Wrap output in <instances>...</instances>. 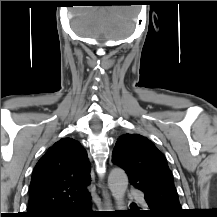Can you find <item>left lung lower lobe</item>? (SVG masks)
<instances>
[{
	"label": "left lung lower lobe",
	"mask_w": 217,
	"mask_h": 217,
	"mask_svg": "<svg viewBox=\"0 0 217 217\" xmlns=\"http://www.w3.org/2000/svg\"><path fill=\"white\" fill-rule=\"evenodd\" d=\"M150 210L146 212H141L143 215H147L149 217H176L178 214L168 213L157 209L155 205L152 203H148Z\"/></svg>",
	"instance_id": "left-lung-lower-lobe-1"
}]
</instances>
